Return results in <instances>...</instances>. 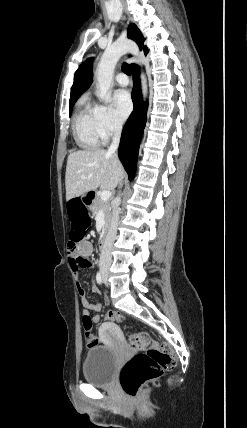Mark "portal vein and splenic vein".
I'll return each mask as SVG.
<instances>
[{
	"label": "portal vein and splenic vein",
	"mask_w": 247,
	"mask_h": 428,
	"mask_svg": "<svg viewBox=\"0 0 247 428\" xmlns=\"http://www.w3.org/2000/svg\"><path fill=\"white\" fill-rule=\"evenodd\" d=\"M83 178L85 177L83 176ZM110 196H111V192L109 190H103L100 194L101 200L103 201L109 200Z\"/></svg>",
	"instance_id": "1"
}]
</instances>
